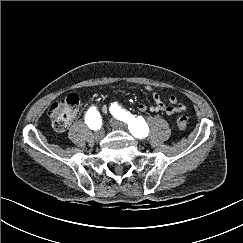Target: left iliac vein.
Masks as SVG:
<instances>
[{
  "mask_svg": "<svg viewBox=\"0 0 243 243\" xmlns=\"http://www.w3.org/2000/svg\"><path fill=\"white\" fill-rule=\"evenodd\" d=\"M110 124L111 126L114 128V129H119V130H124L126 128V124L117 120V119H114L112 118L110 120Z\"/></svg>",
  "mask_w": 243,
  "mask_h": 243,
  "instance_id": "obj_1",
  "label": "left iliac vein"
}]
</instances>
